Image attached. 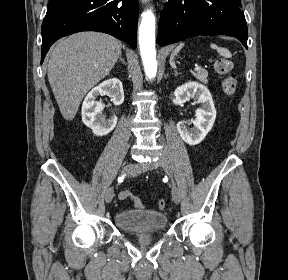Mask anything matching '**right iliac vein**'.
<instances>
[{
    "mask_svg": "<svg viewBox=\"0 0 288 280\" xmlns=\"http://www.w3.org/2000/svg\"><path fill=\"white\" fill-rule=\"evenodd\" d=\"M132 165L131 164H127L123 167L122 173H125L129 170L132 169ZM114 197V188L111 186L107 189L106 193H105V201L106 203H110L112 201Z\"/></svg>",
    "mask_w": 288,
    "mask_h": 280,
    "instance_id": "right-iliac-vein-1",
    "label": "right iliac vein"
}]
</instances>
